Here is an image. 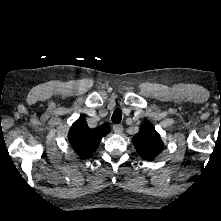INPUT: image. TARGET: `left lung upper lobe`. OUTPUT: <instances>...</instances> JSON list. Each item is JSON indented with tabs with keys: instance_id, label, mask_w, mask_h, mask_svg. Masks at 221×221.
Returning <instances> with one entry per match:
<instances>
[{
	"instance_id": "left-lung-upper-lobe-1",
	"label": "left lung upper lobe",
	"mask_w": 221,
	"mask_h": 221,
	"mask_svg": "<svg viewBox=\"0 0 221 221\" xmlns=\"http://www.w3.org/2000/svg\"><path fill=\"white\" fill-rule=\"evenodd\" d=\"M133 144L138 154L146 160L155 158L162 152L164 147L160 135L149 124L143 125L140 131L133 137Z\"/></svg>"
}]
</instances>
